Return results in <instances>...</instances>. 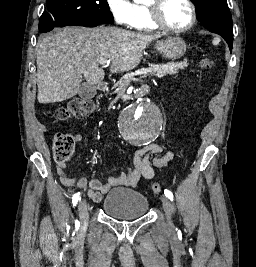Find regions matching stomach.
<instances>
[{
    "label": "stomach",
    "instance_id": "1",
    "mask_svg": "<svg viewBox=\"0 0 256 267\" xmlns=\"http://www.w3.org/2000/svg\"><path fill=\"white\" fill-rule=\"evenodd\" d=\"M155 48L162 54L163 58H167V60H178V58L184 56L187 46L183 38L167 36L164 40H159L155 44Z\"/></svg>",
    "mask_w": 256,
    "mask_h": 267
}]
</instances>
